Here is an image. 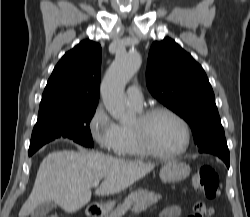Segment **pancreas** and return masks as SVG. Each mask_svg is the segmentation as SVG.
Wrapping results in <instances>:
<instances>
[{
    "label": "pancreas",
    "instance_id": "pancreas-1",
    "mask_svg": "<svg viewBox=\"0 0 250 217\" xmlns=\"http://www.w3.org/2000/svg\"><path fill=\"white\" fill-rule=\"evenodd\" d=\"M160 198V195H157L154 192H149L148 190L135 191L105 217H121L130 209L134 213L140 212L143 209L156 204Z\"/></svg>",
    "mask_w": 250,
    "mask_h": 217
}]
</instances>
